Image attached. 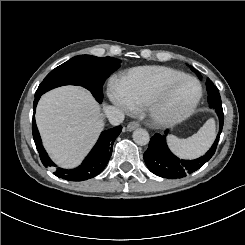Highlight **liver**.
<instances>
[{
    "mask_svg": "<svg viewBox=\"0 0 245 245\" xmlns=\"http://www.w3.org/2000/svg\"><path fill=\"white\" fill-rule=\"evenodd\" d=\"M43 145L62 168L83 160L103 130L100 106L78 86H62L44 94L36 109Z\"/></svg>",
    "mask_w": 245,
    "mask_h": 245,
    "instance_id": "1",
    "label": "liver"
}]
</instances>
